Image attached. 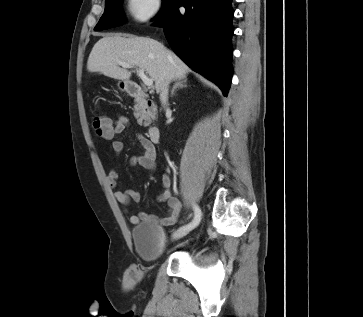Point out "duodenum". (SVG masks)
Returning <instances> with one entry per match:
<instances>
[{"label": "duodenum", "mask_w": 363, "mask_h": 317, "mask_svg": "<svg viewBox=\"0 0 363 317\" xmlns=\"http://www.w3.org/2000/svg\"><path fill=\"white\" fill-rule=\"evenodd\" d=\"M127 91H128V94L133 98H136L141 101L148 100V95H147L146 91L136 83L129 82L127 85ZM148 103L150 104V102H148ZM148 134H149L150 140L153 143H158L160 141L161 131H160L159 127H157L155 125L149 126Z\"/></svg>", "instance_id": "duodenum-1"}]
</instances>
